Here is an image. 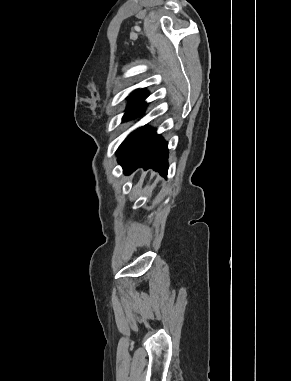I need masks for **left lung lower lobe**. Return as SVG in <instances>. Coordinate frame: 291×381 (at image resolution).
<instances>
[{
  "label": "left lung lower lobe",
  "instance_id": "obj_1",
  "mask_svg": "<svg viewBox=\"0 0 291 381\" xmlns=\"http://www.w3.org/2000/svg\"><path fill=\"white\" fill-rule=\"evenodd\" d=\"M117 154L125 174L143 167L145 170L152 168L163 176L167 175V142L146 126L131 133L120 145Z\"/></svg>",
  "mask_w": 291,
  "mask_h": 381
}]
</instances>
